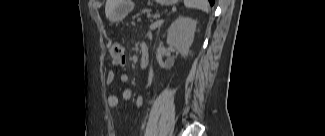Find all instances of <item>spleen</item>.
I'll return each instance as SVG.
<instances>
[{
    "mask_svg": "<svg viewBox=\"0 0 325 136\" xmlns=\"http://www.w3.org/2000/svg\"><path fill=\"white\" fill-rule=\"evenodd\" d=\"M187 8L199 9L208 12V2L206 0H184Z\"/></svg>",
    "mask_w": 325,
    "mask_h": 136,
    "instance_id": "obj_1",
    "label": "spleen"
}]
</instances>
